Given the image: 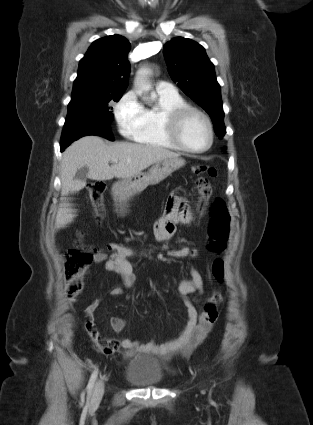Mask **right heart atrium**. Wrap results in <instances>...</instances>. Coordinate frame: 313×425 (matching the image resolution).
Returning <instances> with one entry per match:
<instances>
[{"label": "right heart atrium", "instance_id": "obj_1", "mask_svg": "<svg viewBox=\"0 0 313 425\" xmlns=\"http://www.w3.org/2000/svg\"><path fill=\"white\" fill-rule=\"evenodd\" d=\"M114 116L119 131L133 138L144 125V107L134 91L125 93L114 107Z\"/></svg>", "mask_w": 313, "mask_h": 425}]
</instances>
